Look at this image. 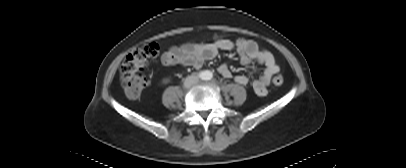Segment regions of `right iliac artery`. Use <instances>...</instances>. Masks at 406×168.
Returning a JSON list of instances; mask_svg holds the SVG:
<instances>
[{
	"instance_id": "obj_1",
	"label": "right iliac artery",
	"mask_w": 406,
	"mask_h": 168,
	"mask_svg": "<svg viewBox=\"0 0 406 168\" xmlns=\"http://www.w3.org/2000/svg\"><path fill=\"white\" fill-rule=\"evenodd\" d=\"M200 77H203V74H200Z\"/></svg>"
}]
</instances>
